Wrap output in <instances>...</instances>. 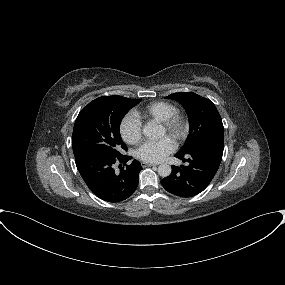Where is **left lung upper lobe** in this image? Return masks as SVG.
<instances>
[{"instance_id":"1","label":"left lung upper lobe","mask_w":285,"mask_h":285,"mask_svg":"<svg viewBox=\"0 0 285 285\" xmlns=\"http://www.w3.org/2000/svg\"><path fill=\"white\" fill-rule=\"evenodd\" d=\"M166 98L181 103L189 118V135L178 153H185L214 136H224V127L220 114L209 99L193 92L174 93Z\"/></svg>"}]
</instances>
